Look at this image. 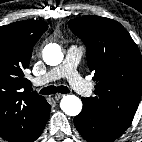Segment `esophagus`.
<instances>
[{"mask_svg":"<svg viewBox=\"0 0 142 142\" xmlns=\"http://www.w3.org/2000/svg\"><path fill=\"white\" fill-rule=\"evenodd\" d=\"M64 95H65V94L57 93V94L54 95V98H55L56 100H59V99H61Z\"/></svg>","mask_w":142,"mask_h":142,"instance_id":"34e87169","label":"esophagus"}]
</instances>
